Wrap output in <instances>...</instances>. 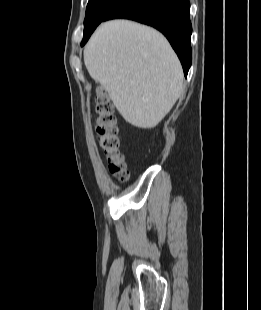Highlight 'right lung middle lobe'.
<instances>
[{
  "mask_svg": "<svg viewBox=\"0 0 261 310\" xmlns=\"http://www.w3.org/2000/svg\"><path fill=\"white\" fill-rule=\"evenodd\" d=\"M124 1L125 0H89L84 20V36L90 30H95V28Z\"/></svg>",
  "mask_w": 261,
  "mask_h": 310,
  "instance_id": "right-lung-middle-lobe-1",
  "label": "right lung middle lobe"
}]
</instances>
